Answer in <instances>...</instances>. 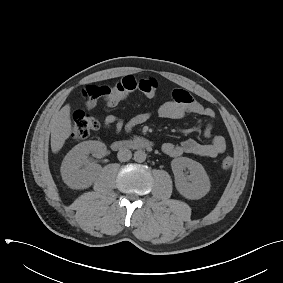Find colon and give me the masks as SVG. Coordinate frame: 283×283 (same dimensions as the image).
<instances>
[{"mask_svg": "<svg viewBox=\"0 0 283 283\" xmlns=\"http://www.w3.org/2000/svg\"><path fill=\"white\" fill-rule=\"evenodd\" d=\"M158 89V81L154 78L137 79L134 76L128 75L123 77L117 83L109 86L106 92L107 103L116 104L119 100L126 97L129 93L139 91L145 95L153 96ZM100 126L99 120L84 111L77 110L72 118V136L75 139L87 138L93 131ZM233 159L230 156H225L220 166L223 170H228L232 167Z\"/></svg>", "mask_w": 283, "mask_h": 283, "instance_id": "5ec220e1", "label": "colon"}]
</instances>
